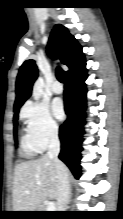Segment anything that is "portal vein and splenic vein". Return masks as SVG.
Returning <instances> with one entry per match:
<instances>
[{
  "instance_id": "18ae733b",
  "label": "portal vein and splenic vein",
  "mask_w": 123,
  "mask_h": 219,
  "mask_svg": "<svg viewBox=\"0 0 123 219\" xmlns=\"http://www.w3.org/2000/svg\"><path fill=\"white\" fill-rule=\"evenodd\" d=\"M26 193H30L29 191H26ZM47 209H46V211H55V203L54 202H49L48 204H47V207H46Z\"/></svg>"
}]
</instances>
